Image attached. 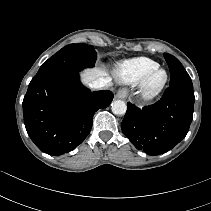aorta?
<instances>
[{
	"label": "aorta",
	"instance_id": "762f6f07",
	"mask_svg": "<svg viewBox=\"0 0 211 211\" xmlns=\"http://www.w3.org/2000/svg\"><path fill=\"white\" fill-rule=\"evenodd\" d=\"M112 112L116 115H124L127 110L126 103L122 100H116L111 104Z\"/></svg>",
	"mask_w": 211,
	"mask_h": 211
}]
</instances>
